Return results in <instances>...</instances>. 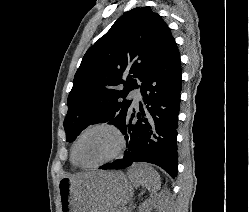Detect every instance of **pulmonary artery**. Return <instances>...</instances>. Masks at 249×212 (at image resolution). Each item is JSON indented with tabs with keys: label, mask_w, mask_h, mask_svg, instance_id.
Listing matches in <instances>:
<instances>
[{
	"label": "pulmonary artery",
	"mask_w": 249,
	"mask_h": 212,
	"mask_svg": "<svg viewBox=\"0 0 249 212\" xmlns=\"http://www.w3.org/2000/svg\"><path fill=\"white\" fill-rule=\"evenodd\" d=\"M129 97L133 100V106L138 107L139 103L142 102L143 97L140 88H135L129 93Z\"/></svg>",
	"instance_id": "1"
}]
</instances>
